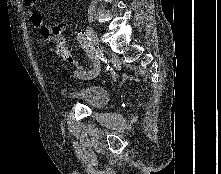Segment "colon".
Returning <instances> with one entry per match:
<instances>
[{"mask_svg": "<svg viewBox=\"0 0 221 174\" xmlns=\"http://www.w3.org/2000/svg\"><path fill=\"white\" fill-rule=\"evenodd\" d=\"M40 32L46 40L55 43L54 52L57 55L61 56L65 61L75 67L79 69L82 68L78 60L71 54L70 47L58 29L44 25Z\"/></svg>", "mask_w": 221, "mask_h": 174, "instance_id": "5ec220e1", "label": "colon"}]
</instances>
